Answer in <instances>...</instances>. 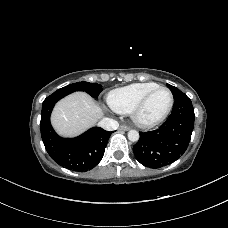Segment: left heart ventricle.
<instances>
[{"label":"left heart ventricle","instance_id":"left-heart-ventricle-1","mask_svg":"<svg viewBox=\"0 0 228 228\" xmlns=\"http://www.w3.org/2000/svg\"><path fill=\"white\" fill-rule=\"evenodd\" d=\"M170 103V96L165 90L156 91L147 101L141 111L140 118L150 122L161 117Z\"/></svg>","mask_w":228,"mask_h":228}]
</instances>
